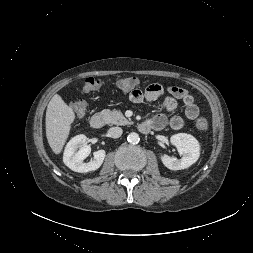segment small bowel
<instances>
[{
  "instance_id": "1",
  "label": "small bowel",
  "mask_w": 253,
  "mask_h": 253,
  "mask_svg": "<svg viewBox=\"0 0 253 253\" xmlns=\"http://www.w3.org/2000/svg\"><path fill=\"white\" fill-rule=\"evenodd\" d=\"M167 96L164 99V108L167 112H173L178 105V100H181L185 105V117L188 120H194L199 115V108L195 103L194 97L185 89L179 87H165L158 83L150 84L144 91L140 89L132 90L129 98L133 103H141L143 101L153 102L158 98ZM149 122L152 128L156 130L163 129L167 124L173 130H179L184 125V119L181 116H173L169 120L164 114L154 116Z\"/></svg>"
}]
</instances>
